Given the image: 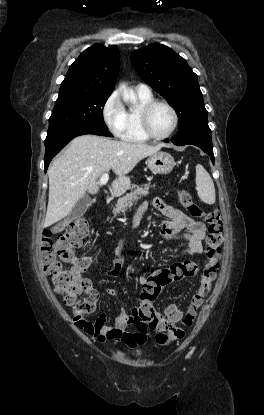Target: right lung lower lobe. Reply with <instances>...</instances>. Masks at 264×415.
<instances>
[{
	"label": "right lung lower lobe",
	"instance_id": "1",
	"mask_svg": "<svg viewBox=\"0 0 264 415\" xmlns=\"http://www.w3.org/2000/svg\"><path fill=\"white\" fill-rule=\"evenodd\" d=\"M85 134H94V135H100V136L113 137V135L108 131V128L86 127V128H80V129L71 131L67 134H64L58 137L55 140L45 143V157H44L45 172L47 171V168L52 158L59 151H61L63 147H65V145H67L73 138L80 136V135H85Z\"/></svg>",
	"mask_w": 264,
	"mask_h": 415
}]
</instances>
